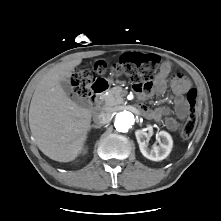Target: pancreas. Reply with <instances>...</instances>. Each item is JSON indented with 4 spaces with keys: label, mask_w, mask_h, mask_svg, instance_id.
<instances>
[{
    "label": "pancreas",
    "mask_w": 221,
    "mask_h": 221,
    "mask_svg": "<svg viewBox=\"0 0 221 221\" xmlns=\"http://www.w3.org/2000/svg\"><path fill=\"white\" fill-rule=\"evenodd\" d=\"M126 95V91H124L121 87L116 86L108 91V94H105L101 97L102 105L105 108L114 107L120 105L124 102V96Z\"/></svg>",
    "instance_id": "1"
}]
</instances>
